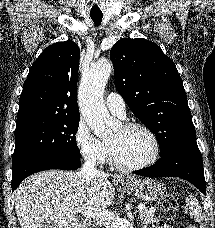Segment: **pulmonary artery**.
I'll use <instances>...</instances> for the list:
<instances>
[{"mask_svg": "<svg viewBox=\"0 0 215 228\" xmlns=\"http://www.w3.org/2000/svg\"><path fill=\"white\" fill-rule=\"evenodd\" d=\"M107 108L120 118L125 116V102L122 97L116 93H110L106 97Z\"/></svg>", "mask_w": 215, "mask_h": 228, "instance_id": "e3ab8cb5", "label": "pulmonary artery"}]
</instances>
